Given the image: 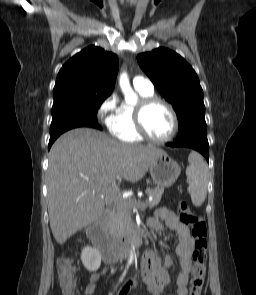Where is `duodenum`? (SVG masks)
I'll use <instances>...</instances> for the list:
<instances>
[{
	"label": "duodenum",
	"mask_w": 256,
	"mask_h": 295,
	"mask_svg": "<svg viewBox=\"0 0 256 295\" xmlns=\"http://www.w3.org/2000/svg\"><path fill=\"white\" fill-rule=\"evenodd\" d=\"M107 222L108 215L102 214L88 227L87 235L101 253L104 262L111 264L127 256L132 248L141 245L146 238V232L143 228L135 227L123 241L114 243L107 237Z\"/></svg>",
	"instance_id": "410a0bca"
}]
</instances>
